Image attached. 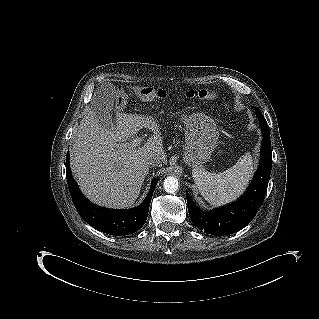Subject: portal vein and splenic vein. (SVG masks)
Masks as SVG:
<instances>
[{
  "label": "portal vein and splenic vein",
  "mask_w": 319,
  "mask_h": 319,
  "mask_svg": "<svg viewBox=\"0 0 319 319\" xmlns=\"http://www.w3.org/2000/svg\"><path fill=\"white\" fill-rule=\"evenodd\" d=\"M142 142V138L139 137V138H135L133 139L130 143H123L122 145L123 146H131V147H138Z\"/></svg>",
  "instance_id": "obj_1"
}]
</instances>
